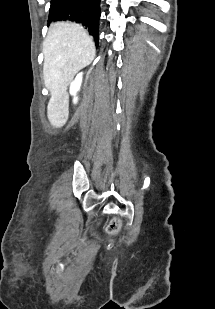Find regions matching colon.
I'll return each mask as SVG.
<instances>
[{"instance_id":"5ec220e1","label":"colon","mask_w":215,"mask_h":309,"mask_svg":"<svg viewBox=\"0 0 215 309\" xmlns=\"http://www.w3.org/2000/svg\"><path fill=\"white\" fill-rule=\"evenodd\" d=\"M119 228V224L114 222V223H110L107 227H106V231L111 234L114 233L118 230Z\"/></svg>"}]
</instances>
